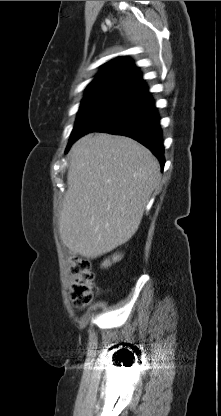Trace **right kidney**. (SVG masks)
Instances as JSON below:
<instances>
[{
	"label": "right kidney",
	"mask_w": 221,
	"mask_h": 416,
	"mask_svg": "<svg viewBox=\"0 0 221 416\" xmlns=\"http://www.w3.org/2000/svg\"><path fill=\"white\" fill-rule=\"evenodd\" d=\"M118 259H119V256H116V257H114V259H113V260H114V261H117ZM108 263H109V262L104 263V266H108ZM109 264H110V263H109Z\"/></svg>",
	"instance_id": "1"
}]
</instances>
